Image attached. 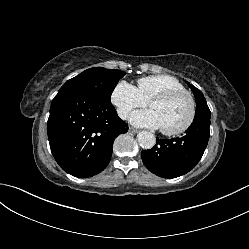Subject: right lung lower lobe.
Masks as SVG:
<instances>
[{"mask_svg":"<svg viewBox=\"0 0 249 249\" xmlns=\"http://www.w3.org/2000/svg\"><path fill=\"white\" fill-rule=\"evenodd\" d=\"M52 154L67 173L86 178L108 165L113 142L128 131L111 103L78 89H60L47 123Z\"/></svg>","mask_w":249,"mask_h":249,"instance_id":"98d812e1","label":"right lung lower lobe"}]
</instances>
